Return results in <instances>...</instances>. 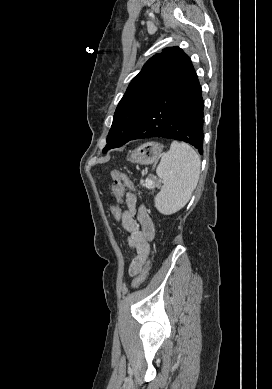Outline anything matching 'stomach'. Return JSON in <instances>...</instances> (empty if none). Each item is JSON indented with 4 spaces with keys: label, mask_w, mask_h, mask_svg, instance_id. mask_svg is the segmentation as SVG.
Instances as JSON below:
<instances>
[{
    "label": "stomach",
    "mask_w": 272,
    "mask_h": 389,
    "mask_svg": "<svg viewBox=\"0 0 272 389\" xmlns=\"http://www.w3.org/2000/svg\"><path fill=\"white\" fill-rule=\"evenodd\" d=\"M163 145L157 142H147L137 147L127 160L132 163H139L143 165H149L159 159L162 154Z\"/></svg>",
    "instance_id": "stomach-1"
}]
</instances>
